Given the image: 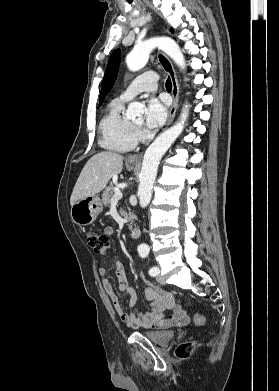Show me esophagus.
<instances>
[{
  "label": "esophagus",
  "instance_id": "1",
  "mask_svg": "<svg viewBox=\"0 0 279 391\" xmlns=\"http://www.w3.org/2000/svg\"><path fill=\"white\" fill-rule=\"evenodd\" d=\"M157 59L162 66L163 70L169 75L172 83V98H173V103L171 105L170 111H169V116L168 120L166 123V126H169L172 121L174 120L176 110L178 107V101H179V85L176 77V73L174 70V67L170 61V59L162 52H158L157 54ZM142 153L139 154H134L130 155L127 160L129 162H134L137 163L141 160Z\"/></svg>",
  "mask_w": 279,
  "mask_h": 391
}]
</instances>
